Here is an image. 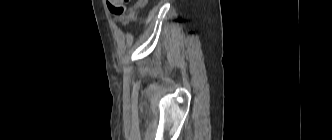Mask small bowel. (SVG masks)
Listing matches in <instances>:
<instances>
[{
    "label": "small bowel",
    "instance_id": "c3829d8e",
    "mask_svg": "<svg viewBox=\"0 0 332 140\" xmlns=\"http://www.w3.org/2000/svg\"><path fill=\"white\" fill-rule=\"evenodd\" d=\"M135 14V8H132L129 12V14L121 19V22L123 25H127L130 20L134 17Z\"/></svg>",
    "mask_w": 332,
    "mask_h": 140
}]
</instances>
